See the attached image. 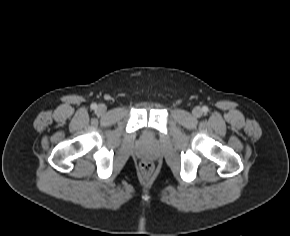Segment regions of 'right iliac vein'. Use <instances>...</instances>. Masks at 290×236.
<instances>
[{
    "mask_svg": "<svg viewBox=\"0 0 290 236\" xmlns=\"http://www.w3.org/2000/svg\"><path fill=\"white\" fill-rule=\"evenodd\" d=\"M107 110L106 106L104 104H99L98 107H97V112L102 114V113H105Z\"/></svg>",
    "mask_w": 290,
    "mask_h": 236,
    "instance_id": "right-iliac-vein-1",
    "label": "right iliac vein"
}]
</instances>
